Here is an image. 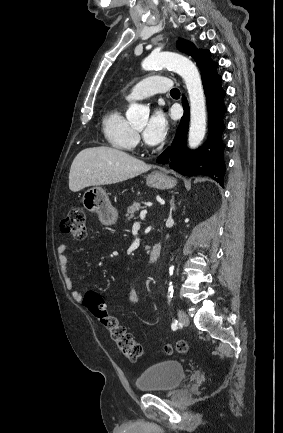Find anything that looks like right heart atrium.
<instances>
[{"label": "right heart atrium", "mask_w": 283, "mask_h": 433, "mask_svg": "<svg viewBox=\"0 0 283 433\" xmlns=\"http://www.w3.org/2000/svg\"><path fill=\"white\" fill-rule=\"evenodd\" d=\"M137 141H138V136L135 135L134 140H133V143H137Z\"/></svg>", "instance_id": "obj_1"}]
</instances>
